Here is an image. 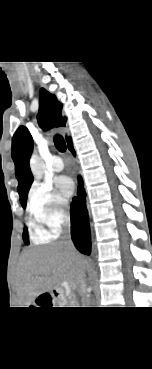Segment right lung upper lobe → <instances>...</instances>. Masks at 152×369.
Here are the masks:
<instances>
[{
    "instance_id": "cb5924a9",
    "label": "right lung upper lobe",
    "mask_w": 152,
    "mask_h": 369,
    "mask_svg": "<svg viewBox=\"0 0 152 369\" xmlns=\"http://www.w3.org/2000/svg\"><path fill=\"white\" fill-rule=\"evenodd\" d=\"M62 104L59 103L55 95L50 94L44 89L40 91V113L38 122L42 129H50L64 126L66 118L61 116ZM71 139L67 138V142ZM33 149V140L24 126H20L12 139V158L15 163V174L18 180V193L20 202H26L27 193L33 182V176L29 168V158Z\"/></svg>"
}]
</instances>
